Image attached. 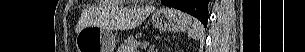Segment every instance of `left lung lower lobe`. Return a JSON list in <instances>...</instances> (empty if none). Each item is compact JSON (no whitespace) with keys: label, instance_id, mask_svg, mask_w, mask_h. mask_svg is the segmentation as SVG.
I'll list each match as a JSON object with an SVG mask.
<instances>
[{"label":"left lung lower lobe","instance_id":"left-lung-lower-lobe-1","mask_svg":"<svg viewBox=\"0 0 305 52\" xmlns=\"http://www.w3.org/2000/svg\"><path fill=\"white\" fill-rule=\"evenodd\" d=\"M162 4L174 7L196 17L206 27L209 0H161Z\"/></svg>","mask_w":305,"mask_h":52}]
</instances>
